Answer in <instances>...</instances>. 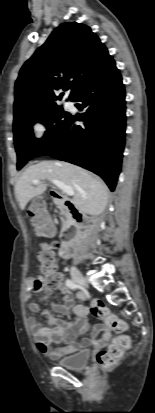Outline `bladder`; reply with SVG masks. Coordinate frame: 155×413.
<instances>
[{"label": "bladder", "mask_w": 155, "mask_h": 413, "mask_svg": "<svg viewBox=\"0 0 155 413\" xmlns=\"http://www.w3.org/2000/svg\"><path fill=\"white\" fill-rule=\"evenodd\" d=\"M89 357V350H82L71 356L60 358L57 365L69 370H81L88 364Z\"/></svg>", "instance_id": "bladder-1"}]
</instances>
